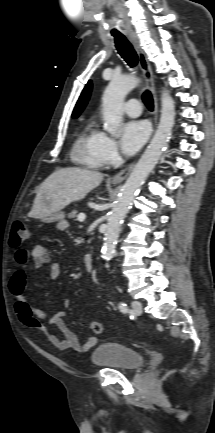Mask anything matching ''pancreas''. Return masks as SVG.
I'll return each mask as SVG.
<instances>
[{"instance_id": "cf45deb5", "label": "pancreas", "mask_w": 215, "mask_h": 433, "mask_svg": "<svg viewBox=\"0 0 215 433\" xmlns=\"http://www.w3.org/2000/svg\"><path fill=\"white\" fill-rule=\"evenodd\" d=\"M77 214H78V211L77 210H73L70 214H69V218H75L76 216H77Z\"/></svg>"}]
</instances>
